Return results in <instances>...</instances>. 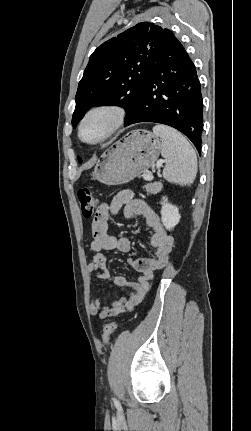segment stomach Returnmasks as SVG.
<instances>
[{
	"instance_id": "stomach-1",
	"label": "stomach",
	"mask_w": 251,
	"mask_h": 431,
	"mask_svg": "<svg viewBox=\"0 0 251 431\" xmlns=\"http://www.w3.org/2000/svg\"><path fill=\"white\" fill-rule=\"evenodd\" d=\"M160 151L158 136L148 130H133L100 156L93 179L106 185L125 184L152 167Z\"/></svg>"
}]
</instances>
